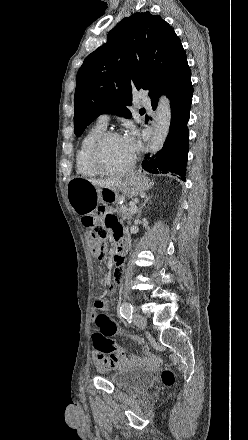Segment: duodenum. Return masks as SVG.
Returning <instances> with one entry per match:
<instances>
[{
  "label": "duodenum",
  "instance_id": "duodenum-1",
  "mask_svg": "<svg viewBox=\"0 0 248 440\" xmlns=\"http://www.w3.org/2000/svg\"><path fill=\"white\" fill-rule=\"evenodd\" d=\"M126 253V245L124 242H119L116 248L117 257H123Z\"/></svg>",
  "mask_w": 248,
  "mask_h": 440
}]
</instances>
